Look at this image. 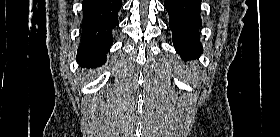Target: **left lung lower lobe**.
<instances>
[{"mask_svg":"<svg viewBox=\"0 0 280 137\" xmlns=\"http://www.w3.org/2000/svg\"><path fill=\"white\" fill-rule=\"evenodd\" d=\"M200 5L201 0H165L173 44L183 57L202 53L198 32L202 24Z\"/></svg>","mask_w":280,"mask_h":137,"instance_id":"0a47b994","label":"left lung lower lobe"}]
</instances>
